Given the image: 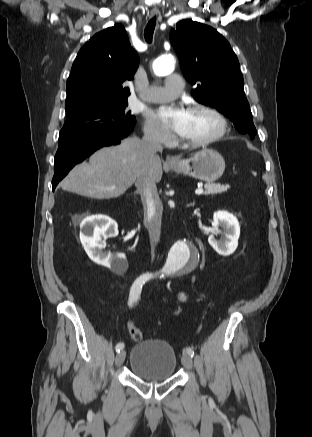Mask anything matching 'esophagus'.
I'll return each mask as SVG.
<instances>
[{
  "label": "esophagus",
  "instance_id": "obj_1",
  "mask_svg": "<svg viewBox=\"0 0 312 437\" xmlns=\"http://www.w3.org/2000/svg\"><path fill=\"white\" fill-rule=\"evenodd\" d=\"M155 15H157V12H151L150 13V17L152 18V17H154ZM177 159L175 158V157H173V156H168L167 158H166V162L168 163V164H175V163H177Z\"/></svg>",
  "mask_w": 312,
  "mask_h": 437
}]
</instances>
